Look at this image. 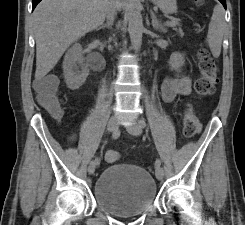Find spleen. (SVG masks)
<instances>
[{
  "label": "spleen",
  "mask_w": 245,
  "mask_h": 225,
  "mask_svg": "<svg viewBox=\"0 0 245 225\" xmlns=\"http://www.w3.org/2000/svg\"><path fill=\"white\" fill-rule=\"evenodd\" d=\"M225 29L224 10L221 5H216L209 23L207 43L214 57H219Z\"/></svg>",
  "instance_id": "spleen-1"
}]
</instances>
